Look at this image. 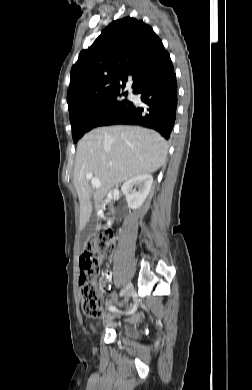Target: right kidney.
Masks as SVG:
<instances>
[{"label": "right kidney", "instance_id": "ca27d5eb", "mask_svg": "<svg viewBox=\"0 0 252 390\" xmlns=\"http://www.w3.org/2000/svg\"><path fill=\"white\" fill-rule=\"evenodd\" d=\"M152 183L153 177L150 174H143L135 176L123 184L121 191L126 197L129 208L135 210L144 203ZM136 187H138V191H136Z\"/></svg>", "mask_w": 252, "mask_h": 390}]
</instances>
